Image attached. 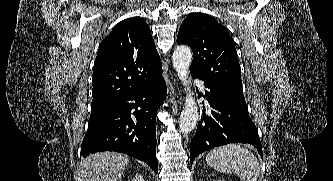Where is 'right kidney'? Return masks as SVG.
<instances>
[{"label":"right kidney","instance_id":"right-kidney-1","mask_svg":"<svg viewBox=\"0 0 333 181\" xmlns=\"http://www.w3.org/2000/svg\"><path fill=\"white\" fill-rule=\"evenodd\" d=\"M132 181H144V179H143V176L142 175H136L133 179H132Z\"/></svg>","mask_w":333,"mask_h":181}]
</instances>
